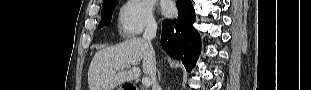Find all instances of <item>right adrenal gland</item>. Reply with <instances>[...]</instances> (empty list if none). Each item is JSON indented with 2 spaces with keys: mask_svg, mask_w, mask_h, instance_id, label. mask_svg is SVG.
Returning a JSON list of instances; mask_svg holds the SVG:
<instances>
[{
  "mask_svg": "<svg viewBox=\"0 0 311 90\" xmlns=\"http://www.w3.org/2000/svg\"><path fill=\"white\" fill-rule=\"evenodd\" d=\"M159 79H160V73H158Z\"/></svg>",
  "mask_w": 311,
  "mask_h": 90,
  "instance_id": "1",
  "label": "right adrenal gland"
}]
</instances>
